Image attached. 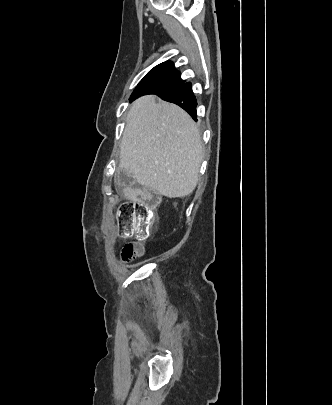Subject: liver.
Here are the masks:
<instances>
[{
    "label": "liver",
    "instance_id": "1",
    "mask_svg": "<svg viewBox=\"0 0 332 405\" xmlns=\"http://www.w3.org/2000/svg\"><path fill=\"white\" fill-rule=\"evenodd\" d=\"M203 159L201 135L179 106L138 98L126 119L120 147L123 171L136 181L169 197H185L195 189Z\"/></svg>",
    "mask_w": 332,
    "mask_h": 405
}]
</instances>
